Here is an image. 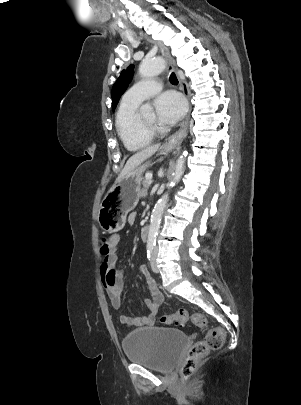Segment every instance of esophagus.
Wrapping results in <instances>:
<instances>
[{
	"label": "esophagus",
	"instance_id": "1",
	"mask_svg": "<svg viewBox=\"0 0 301 405\" xmlns=\"http://www.w3.org/2000/svg\"><path fill=\"white\" fill-rule=\"evenodd\" d=\"M159 47H160L162 56L166 60L167 69L169 71H173V72L177 73V66H176L175 60L171 56L168 48L162 43L159 44ZM180 84L182 87L183 94L188 98V96H189L188 90L186 89V87H184V85L181 82H180ZM188 128H189V113L186 115L185 119L182 121L179 130L176 131L174 134L170 135L166 139L165 144H164L165 147L174 148L177 145H179L183 141V139L186 137V135L188 133Z\"/></svg>",
	"mask_w": 301,
	"mask_h": 405
}]
</instances>
